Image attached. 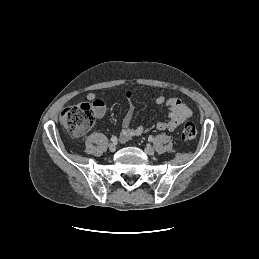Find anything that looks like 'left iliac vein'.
<instances>
[{"label":"left iliac vein","mask_w":259,"mask_h":259,"mask_svg":"<svg viewBox=\"0 0 259 259\" xmlns=\"http://www.w3.org/2000/svg\"><path fill=\"white\" fill-rule=\"evenodd\" d=\"M144 151L147 155H153L155 153L154 148L149 145L145 147Z\"/></svg>","instance_id":"obj_1"}]
</instances>
